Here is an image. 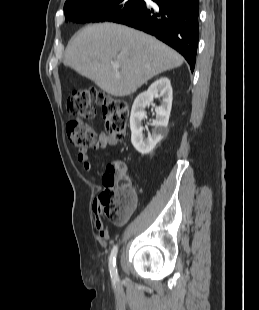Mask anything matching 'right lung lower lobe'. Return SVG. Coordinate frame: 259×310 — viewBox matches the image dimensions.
I'll list each match as a JSON object with an SVG mask.
<instances>
[{
    "label": "right lung lower lobe",
    "mask_w": 259,
    "mask_h": 310,
    "mask_svg": "<svg viewBox=\"0 0 259 310\" xmlns=\"http://www.w3.org/2000/svg\"><path fill=\"white\" fill-rule=\"evenodd\" d=\"M119 23L154 35L177 50L194 70L199 36V0H152Z\"/></svg>",
    "instance_id": "obj_1"
}]
</instances>
